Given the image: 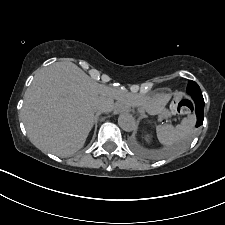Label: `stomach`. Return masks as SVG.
Instances as JSON below:
<instances>
[{
  "instance_id": "1",
  "label": "stomach",
  "mask_w": 225,
  "mask_h": 225,
  "mask_svg": "<svg viewBox=\"0 0 225 225\" xmlns=\"http://www.w3.org/2000/svg\"><path fill=\"white\" fill-rule=\"evenodd\" d=\"M167 103V97H159L147 101L145 108L149 113H163Z\"/></svg>"
}]
</instances>
